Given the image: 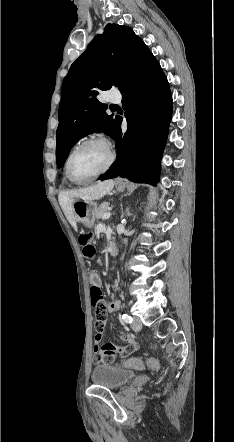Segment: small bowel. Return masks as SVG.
<instances>
[{
    "instance_id": "c3829d8e",
    "label": "small bowel",
    "mask_w": 234,
    "mask_h": 442,
    "mask_svg": "<svg viewBox=\"0 0 234 442\" xmlns=\"http://www.w3.org/2000/svg\"><path fill=\"white\" fill-rule=\"evenodd\" d=\"M100 288L101 283L100 280L97 284ZM116 287L114 286L113 289ZM120 309V302L118 300H113L108 305V310L110 311H118ZM109 322L108 314H97L96 319L93 321V326L95 328V341L96 344L94 346V354H95V362L97 363L98 369H111L113 365L117 364L118 361H121L123 357L133 355L135 350L139 349V342L135 341L134 336L127 335L122 333L120 335V339L124 342V347H116L111 343L99 344L100 341L104 337L105 328H107ZM122 353V354H121ZM127 363V361H125Z\"/></svg>"
}]
</instances>
